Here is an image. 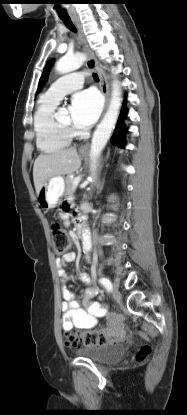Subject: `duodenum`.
Instances as JSON below:
<instances>
[{"label":"duodenum","instance_id":"410a0bca","mask_svg":"<svg viewBox=\"0 0 187 415\" xmlns=\"http://www.w3.org/2000/svg\"><path fill=\"white\" fill-rule=\"evenodd\" d=\"M82 227H83V219L81 217L76 218L75 229H74V235L76 237H79L81 235Z\"/></svg>","mask_w":187,"mask_h":415}]
</instances>
